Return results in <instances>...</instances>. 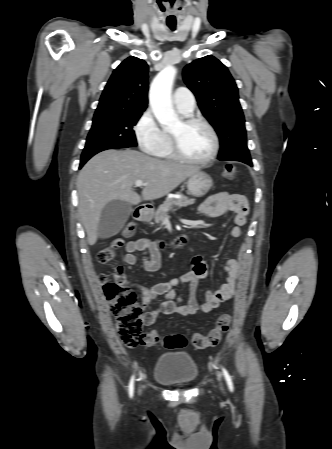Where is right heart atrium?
Masks as SVG:
<instances>
[{
	"label": "right heart atrium",
	"mask_w": 332,
	"mask_h": 449,
	"mask_svg": "<svg viewBox=\"0 0 332 449\" xmlns=\"http://www.w3.org/2000/svg\"><path fill=\"white\" fill-rule=\"evenodd\" d=\"M134 130L139 146L145 153L155 155L165 143L166 135L149 109L139 117Z\"/></svg>",
	"instance_id": "right-heart-atrium-1"
}]
</instances>
